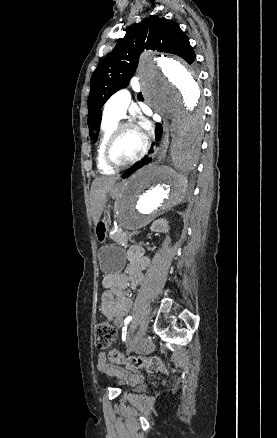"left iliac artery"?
<instances>
[{"label":"left iliac artery","instance_id":"44dca946","mask_svg":"<svg viewBox=\"0 0 277 438\" xmlns=\"http://www.w3.org/2000/svg\"><path fill=\"white\" fill-rule=\"evenodd\" d=\"M132 320V316H128L125 319V326L123 327V332H122V341H125L126 338V329H127V325L129 324V322Z\"/></svg>","mask_w":277,"mask_h":438}]
</instances>
